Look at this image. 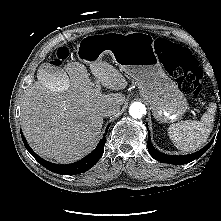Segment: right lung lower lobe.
Returning a JSON list of instances; mask_svg holds the SVG:
<instances>
[{
  "label": "right lung lower lobe",
  "mask_w": 221,
  "mask_h": 221,
  "mask_svg": "<svg viewBox=\"0 0 221 221\" xmlns=\"http://www.w3.org/2000/svg\"><path fill=\"white\" fill-rule=\"evenodd\" d=\"M108 128L109 126L107 127V130ZM21 137H22V140L24 142L26 149L42 166H44L46 169L54 173L62 174V175L80 174V173L87 171L91 167H93L101 158L103 151H104V145L106 142V137L104 135V137L98 143L97 147L89 155H87L86 157H84L83 159L75 163L68 164V165H59V164L48 162L42 159L41 157H39L27 144V141L25 137L22 135V132H21Z\"/></svg>",
  "instance_id": "obj_1"
}]
</instances>
